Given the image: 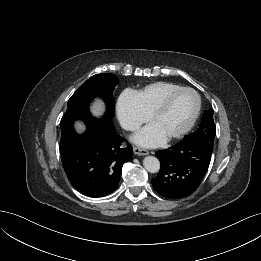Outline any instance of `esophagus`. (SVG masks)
Returning a JSON list of instances; mask_svg holds the SVG:
<instances>
[{
  "label": "esophagus",
  "instance_id": "1",
  "mask_svg": "<svg viewBox=\"0 0 261 261\" xmlns=\"http://www.w3.org/2000/svg\"><path fill=\"white\" fill-rule=\"evenodd\" d=\"M133 151L136 155H148L149 152L143 148L140 147H134Z\"/></svg>",
  "mask_w": 261,
  "mask_h": 261
}]
</instances>
